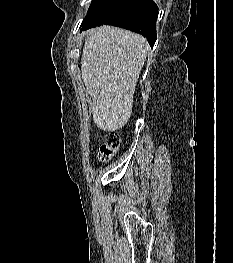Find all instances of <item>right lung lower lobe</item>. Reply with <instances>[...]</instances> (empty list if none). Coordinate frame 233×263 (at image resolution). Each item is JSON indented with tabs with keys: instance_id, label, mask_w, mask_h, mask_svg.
Returning a JSON list of instances; mask_svg holds the SVG:
<instances>
[{
	"instance_id": "obj_1",
	"label": "right lung lower lobe",
	"mask_w": 233,
	"mask_h": 263,
	"mask_svg": "<svg viewBox=\"0 0 233 263\" xmlns=\"http://www.w3.org/2000/svg\"><path fill=\"white\" fill-rule=\"evenodd\" d=\"M158 7L153 0H128L112 18L103 23L83 21L82 29H89L103 24L122 27L142 34L151 47L156 41V21Z\"/></svg>"
}]
</instances>
